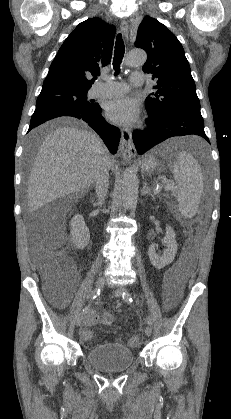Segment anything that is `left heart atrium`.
Masks as SVG:
<instances>
[{"instance_id": "obj_1", "label": "left heart atrium", "mask_w": 231, "mask_h": 419, "mask_svg": "<svg viewBox=\"0 0 231 419\" xmlns=\"http://www.w3.org/2000/svg\"><path fill=\"white\" fill-rule=\"evenodd\" d=\"M138 105L131 97H121L110 101L106 107L108 119L119 125L131 126L138 119Z\"/></svg>"}]
</instances>
